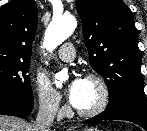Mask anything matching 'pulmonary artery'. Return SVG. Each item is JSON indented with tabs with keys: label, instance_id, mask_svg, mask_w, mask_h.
<instances>
[{
	"label": "pulmonary artery",
	"instance_id": "obj_1",
	"mask_svg": "<svg viewBox=\"0 0 147 131\" xmlns=\"http://www.w3.org/2000/svg\"><path fill=\"white\" fill-rule=\"evenodd\" d=\"M58 56L66 62L72 61L75 57V48L72 43L63 44L58 50Z\"/></svg>",
	"mask_w": 147,
	"mask_h": 131
}]
</instances>
